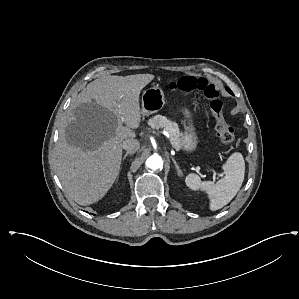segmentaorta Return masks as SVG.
Instances as JSON below:
<instances>
[{"instance_id": "aorta-1", "label": "aorta", "mask_w": 299, "mask_h": 299, "mask_svg": "<svg viewBox=\"0 0 299 299\" xmlns=\"http://www.w3.org/2000/svg\"><path fill=\"white\" fill-rule=\"evenodd\" d=\"M146 166L152 170L162 169L163 168V160H162L161 156L154 154L146 160Z\"/></svg>"}]
</instances>
